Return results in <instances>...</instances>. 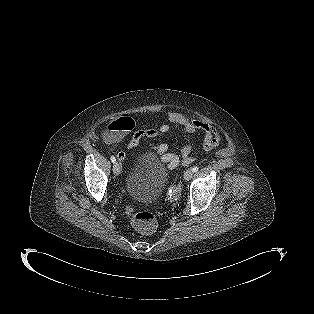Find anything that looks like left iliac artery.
Segmentation results:
<instances>
[{"label": "left iliac artery", "mask_w": 314, "mask_h": 314, "mask_svg": "<svg viewBox=\"0 0 314 314\" xmlns=\"http://www.w3.org/2000/svg\"><path fill=\"white\" fill-rule=\"evenodd\" d=\"M198 169H199V167H197V166H194V167L192 168L193 172H197Z\"/></svg>", "instance_id": "1"}]
</instances>
